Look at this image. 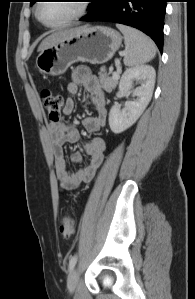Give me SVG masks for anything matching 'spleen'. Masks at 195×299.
I'll use <instances>...</instances> for the list:
<instances>
[{
    "instance_id": "1",
    "label": "spleen",
    "mask_w": 195,
    "mask_h": 299,
    "mask_svg": "<svg viewBox=\"0 0 195 299\" xmlns=\"http://www.w3.org/2000/svg\"><path fill=\"white\" fill-rule=\"evenodd\" d=\"M116 27L124 35L126 52L123 62L127 67L142 65L155 57L157 49L148 36L122 24H116Z\"/></svg>"
}]
</instances>
